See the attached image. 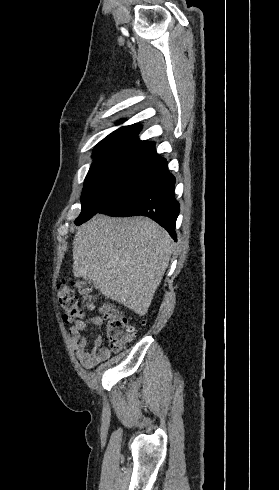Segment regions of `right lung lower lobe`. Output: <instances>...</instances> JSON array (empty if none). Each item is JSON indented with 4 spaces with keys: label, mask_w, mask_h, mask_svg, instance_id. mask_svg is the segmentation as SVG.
Segmentation results:
<instances>
[{
    "label": "right lung lower lobe",
    "mask_w": 279,
    "mask_h": 490,
    "mask_svg": "<svg viewBox=\"0 0 279 490\" xmlns=\"http://www.w3.org/2000/svg\"><path fill=\"white\" fill-rule=\"evenodd\" d=\"M159 165L160 169L151 177L111 194L99 213L116 217L147 216L176 241L175 223L180 205L174 193L175 177L169 172L166 160Z\"/></svg>",
    "instance_id": "obj_1"
}]
</instances>
